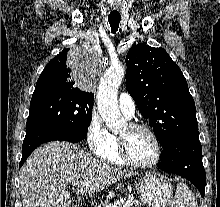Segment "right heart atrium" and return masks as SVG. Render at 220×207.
I'll return each mask as SVG.
<instances>
[{
    "label": "right heart atrium",
    "instance_id": "1",
    "mask_svg": "<svg viewBox=\"0 0 220 207\" xmlns=\"http://www.w3.org/2000/svg\"><path fill=\"white\" fill-rule=\"evenodd\" d=\"M112 134L106 128L98 111L93 109L87 125L86 138L93 153L103 150L111 141Z\"/></svg>",
    "mask_w": 220,
    "mask_h": 207
}]
</instances>
